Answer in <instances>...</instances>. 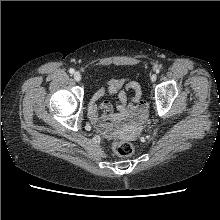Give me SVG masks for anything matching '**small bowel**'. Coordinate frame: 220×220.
Wrapping results in <instances>:
<instances>
[{"label":"small bowel","instance_id":"obj_1","mask_svg":"<svg viewBox=\"0 0 220 220\" xmlns=\"http://www.w3.org/2000/svg\"><path fill=\"white\" fill-rule=\"evenodd\" d=\"M133 92L128 98L127 92ZM105 93L113 94L116 98L117 113H113L110 102L105 101L98 106L96 101ZM142 89L138 82L121 78L110 79L106 87L101 88L92 97L88 105V117L91 123L103 134H109L112 130L111 123L125 120L129 117H139L146 108V102L142 100ZM102 110V114L99 113Z\"/></svg>","mask_w":220,"mask_h":220}]
</instances>
